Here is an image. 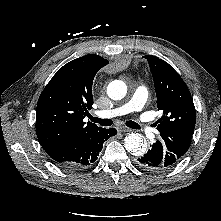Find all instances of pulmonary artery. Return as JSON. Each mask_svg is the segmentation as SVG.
<instances>
[{"label": "pulmonary artery", "mask_w": 221, "mask_h": 221, "mask_svg": "<svg viewBox=\"0 0 221 221\" xmlns=\"http://www.w3.org/2000/svg\"><path fill=\"white\" fill-rule=\"evenodd\" d=\"M147 98V88L144 86H139L127 103L114 109L100 111L98 115L102 118H112L116 116L125 115L131 112H140L142 111L147 101ZM139 125L145 133L151 132V128L145 117L141 116L139 118Z\"/></svg>", "instance_id": "e3ab8cb5"}]
</instances>
